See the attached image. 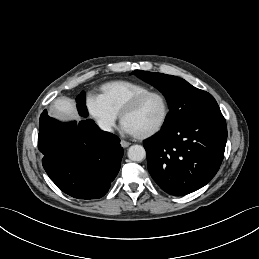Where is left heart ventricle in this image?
<instances>
[{
    "instance_id": "obj_1",
    "label": "left heart ventricle",
    "mask_w": 259,
    "mask_h": 259,
    "mask_svg": "<svg viewBox=\"0 0 259 259\" xmlns=\"http://www.w3.org/2000/svg\"><path fill=\"white\" fill-rule=\"evenodd\" d=\"M164 114V104L157 96H151L145 99L139 107L128 114L124 122L135 134H143L154 127L161 121Z\"/></svg>"
}]
</instances>
